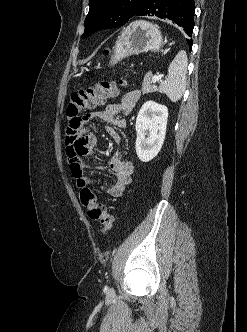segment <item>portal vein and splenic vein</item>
<instances>
[{"mask_svg": "<svg viewBox=\"0 0 247 332\" xmlns=\"http://www.w3.org/2000/svg\"><path fill=\"white\" fill-rule=\"evenodd\" d=\"M162 77H163L162 75H158V74L154 75L153 78H152V83H156L158 81H161Z\"/></svg>", "mask_w": 247, "mask_h": 332, "instance_id": "portal-vein-and-splenic-vein-1", "label": "portal vein and splenic vein"}]
</instances>
